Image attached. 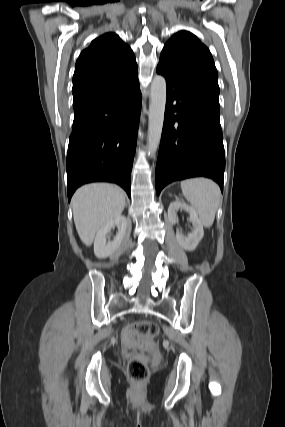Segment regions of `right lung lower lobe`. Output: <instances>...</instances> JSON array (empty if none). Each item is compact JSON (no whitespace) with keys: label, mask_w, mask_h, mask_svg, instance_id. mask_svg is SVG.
Segmentation results:
<instances>
[{"label":"right lung lower lobe","mask_w":285,"mask_h":427,"mask_svg":"<svg viewBox=\"0 0 285 427\" xmlns=\"http://www.w3.org/2000/svg\"><path fill=\"white\" fill-rule=\"evenodd\" d=\"M66 159L68 200L81 185L106 181L130 196L141 111L138 74L75 104Z\"/></svg>","instance_id":"98d812e1"}]
</instances>
